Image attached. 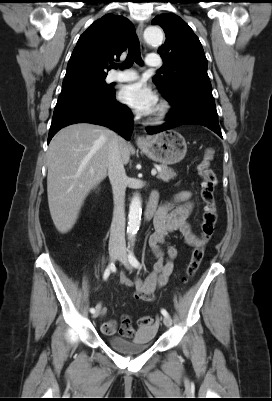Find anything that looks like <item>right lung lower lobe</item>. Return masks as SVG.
<instances>
[{
    "label": "right lung lower lobe",
    "mask_w": 272,
    "mask_h": 401,
    "mask_svg": "<svg viewBox=\"0 0 272 401\" xmlns=\"http://www.w3.org/2000/svg\"><path fill=\"white\" fill-rule=\"evenodd\" d=\"M75 123L102 125L126 140H130L134 124L131 110L116 101L115 90L104 100H82L55 108L48 143L61 128Z\"/></svg>",
    "instance_id": "obj_1"
}]
</instances>
